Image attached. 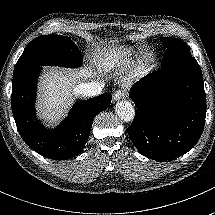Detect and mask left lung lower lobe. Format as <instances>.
I'll list each match as a JSON object with an SVG mask.
<instances>
[{
  "mask_svg": "<svg viewBox=\"0 0 215 215\" xmlns=\"http://www.w3.org/2000/svg\"><path fill=\"white\" fill-rule=\"evenodd\" d=\"M130 97L136 112L128 135L144 156L169 161L198 142L205 124L206 95L195 58L146 75L133 85Z\"/></svg>",
  "mask_w": 215,
  "mask_h": 215,
  "instance_id": "0a47b994",
  "label": "left lung lower lobe"
}]
</instances>
